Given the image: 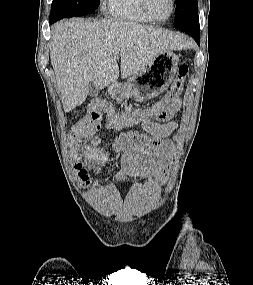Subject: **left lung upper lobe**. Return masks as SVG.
<instances>
[{
    "label": "left lung upper lobe",
    "mask_w": 253,
    "mask_h": 285,
    "mask_svg": "<svg viewBox=\"0 0 253 285\" xmlns=\"http://www.w3.org/2000/svg\"><path fill=\"white\" fill-rule=\"evenodd\" d=\"M175 2V28L181 29L199 20L197 0H175Z\"/></svg>",
    "instance_id": "left-lung-upper-lobe-1"
}]
</instances>
